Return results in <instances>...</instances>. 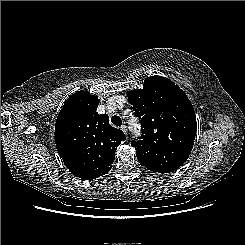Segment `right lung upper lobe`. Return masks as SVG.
<instances>
[{
  "label": "right lung upper lobe",
  "instance_id": "right-lung-upper-lobe-1",
  "mask_svg": "<svg viewBox=\"0 0 245 245\" xmlns=\"http://www.w3.org/2000/svg\"><path fill=\"white\" fill-rule=\"evenodd\" d=\"M97 96L88 91L71 95L55 124V143L65 166L75 176L92 180L106 174L124 133L109 124L107 114L96 112Z\"/></svg>",
  "mask_w": 245,
  "mask_h": 245
}]
</instances>
